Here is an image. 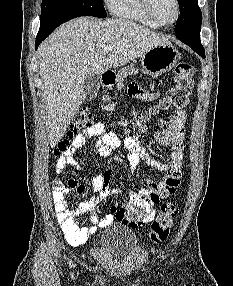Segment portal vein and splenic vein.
I'll return each instance as SVG.
<instances>
[{
  "mask_svg": "<svg viewBox=\"0 0 233 286\" xmlns=\"http://www.w3.org/2000/svg\"><path fill=\"white\" fill-rule=\"evenodd\" d=\"M112 49H113L112 46H105V47H104V51H105V52H109V51H111Z\"/></svg>",
  "mask_w": 233,
  "mask_h": 286,
  "instance_id": "1",
  "label": "portal vein and splenic vein"
}]
</instances>
